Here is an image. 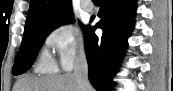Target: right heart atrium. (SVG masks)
<instances>
[{
  "label": "right heart atrium",
  "mask_w": 173,
  "mask_h": 91,
  "mask_svg": "<svg viewBox=\"0 0 173 91\" xmlns=\"http://www.w3.org/2000/svg\"><path fill=\"white\" fill-rule=\"evenodd\" d=\"M46 44L55 52L63 71L72 70L86 50L85 38L72 22H64L53 28L47 35Z\"/></svg>",
  "instance_id": "d8ad5b80"
}]
</instances>
